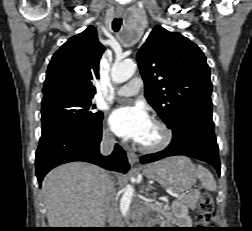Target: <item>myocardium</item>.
Returning <instances> with one entry per match:
<instances>
[{
    "label": "myocardium",
    "instance_id": "f54148a6",
    "mask_svg": "<svg viewBox=\"0 0 252 231\" xmlns=\"http://www.w3.org/2000/svg\"><path fill=\"white\" fill-rule=\"evenodd\" d=\"M152 123L160 129L162 138L158 143L154 145H145L142 143L138 144V147L141 151L148 153H154L164 150L170 145L173 139V132L164 121L160 119H154Z\"/></svg>",
    "mask_w": 252,
    "mask_h": 231
}]
</instances>
